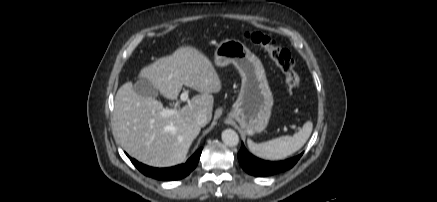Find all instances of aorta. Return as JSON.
<instances>
[{
	"label": "aorta",
	"instance_id": "aorta-1",
	"mask_svg": "<svg viewBox=\"0 0 437 202\" xmlns=\"http://www.w3.org/2000/svg\"><path fill=\"white\" fill-rule=\"evenodd\" d=\"M222 141L225 145L234 147L239 143V136L234 130L226 129L222 132Z\"/></svg>",
	"mask_w": 437,
	"mask_h": 202
}]
</instances>
